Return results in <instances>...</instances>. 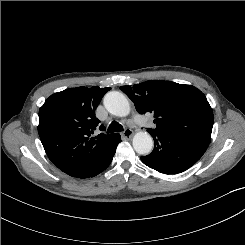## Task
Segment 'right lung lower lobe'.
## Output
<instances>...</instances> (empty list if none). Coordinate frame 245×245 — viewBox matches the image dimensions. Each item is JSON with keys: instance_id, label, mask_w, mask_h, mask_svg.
<instances>
[{"instance_id": "obj_1", "label": "right lung lower lobe", "mask_w": 245, "mask_h": 245, "mask_svg": "<svg viewBox=\"0 0 245 245\" xmlns=\"http://www.w3.org/2000/svg\"><path fill=\"white\" fill-rule=\"evenodd\" d=\"M119 142H121L120 135H119V137H117V139H116V142H115L114 149H113L112 153L109 155L107 161H106L105 164H104V167L102 168V170H101L99 173H101L104 169H106V168L110 165V163H111V161H112V158H113V156H114V154H115L116 147H117V145H118ZM99 173H98V174H99Z\"/></svg>"}]
</instances>
